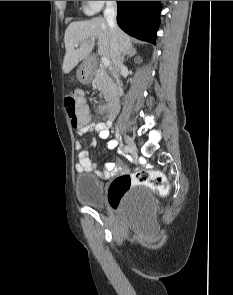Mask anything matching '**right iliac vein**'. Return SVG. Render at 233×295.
<instances>
[{"label":"right iliac vein","mask_w":233,"mask_h":295,"mask_svg":"<svg viewBox=\"0 0 233 295\" xmlns=\"http://www.w3.org/2000/svg\"><path fill=\"white\" fill-rule=\"evenodd\" d=\"M124 140L126 143V148H128V153H135L136 152V146L133 141V139L127 135L124 136Z\"/></svg>","instance_id":"obj_1"}]
</instances>
